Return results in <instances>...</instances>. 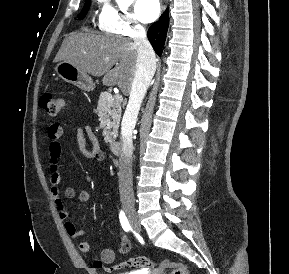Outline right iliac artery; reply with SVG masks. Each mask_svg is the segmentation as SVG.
Segmentation results:
<instances>
[{
	"mask_svg": "<svg viewBox=\"0 0 289 274\" xmlns=\"http://www.w3.org/2000/svg\"><path fill=\"white\" fill-rule=\"evenodd\" d=\"M119 219H120V223H121V226L124 229V231L128 232L131 229V226L129 224V221H128L125 213L122 210L119 213Z\"/></svg>",
	"mask_w": 289,
	"mask_h": 274,
	"instance_id": "1",
	"label": "right iliac artery"
}]
</instances>
